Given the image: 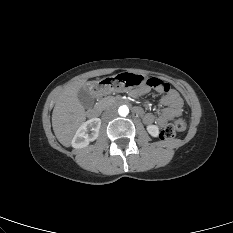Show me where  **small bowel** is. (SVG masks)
<instances>
[{
    "instance_id": "1",
    "label": "small bowel",
    "mask_w": 233,
    "mask_h": 233,
    "mask_svg": "<svg viewBox=\"0 0 233 233\" xmlns=\"http://www.w3.org/2000/svg\"><path fill=\"white\" fill-rule=\"evenodd\" d=\"M148 86H144L138 90H135L131 93L132 96L137 97L140 95L145 94L146 92L149 91ZM158 93H162V97L160 99V102L162 105L165 106L163 111L159 116H155L151 113L143 114L142 109H140L139 114L143 115L144 122L147 125H156L158 127H163L165 126L169 121H171L173 118L180 116L183 111V101L179 94L169 88L168 91H161L155 89Z\"/></svg>"
}]
</instances>
